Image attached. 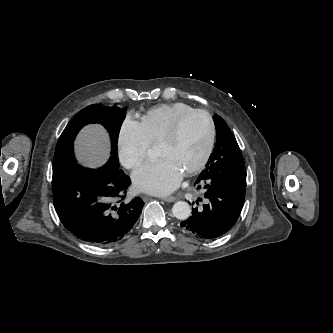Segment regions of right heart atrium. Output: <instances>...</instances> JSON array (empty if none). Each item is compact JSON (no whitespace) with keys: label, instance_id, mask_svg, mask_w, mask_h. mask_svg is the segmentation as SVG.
Returning <instances> with one entry per match:
<instances>
[{"label":"right heart atrium","instance_id":"obj_1","mask_svg":"<svg viewBox=\"0 0 333 333\" xmlns=\"http://www.w3.org/2000/svg\"><path fill=\"white\" fill-rule=\"evenodd\" d=\"M151 141L141 122L130 115L121 123L117 134L120 162L128 169L138 167L146 158Z\"/></svg>","mask_w":333,"mask_h":333}]
</instances>
